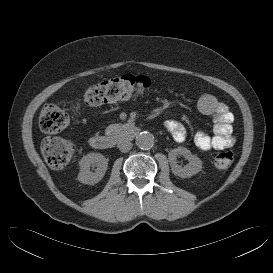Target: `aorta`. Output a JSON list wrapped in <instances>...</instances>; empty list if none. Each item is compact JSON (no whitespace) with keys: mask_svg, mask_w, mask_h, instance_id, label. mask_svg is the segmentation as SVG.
I'll return each mask as SVG.
<instances>
[{"mask_svg":"<svg viewBox=\"0 0 273 273\" xmlns=\"http://www.w3.org/2000/svg\"><path fill=\"white\" fill-rule=\"evenodd\" d=\"M136 145L143 150L151 149L154 145V136L149 132H141L136 137Z\"/></svg>","mask_w":273,"mask_h":273,"instance_id":"obj_1","label":"aorta"}]
</instances>
